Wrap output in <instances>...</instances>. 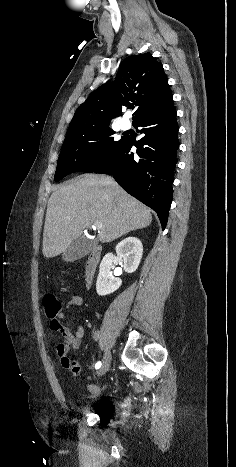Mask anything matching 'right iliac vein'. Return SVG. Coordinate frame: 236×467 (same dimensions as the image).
Returning <instances> with one entry per match:
<instances>
[{
    "label": "right iliac vein",
    "instance_id": "1",
    "mask_svg": "<svg viewBox=\"0 0 236 467\" xmlns=\"http://www.w3.org/2000/svg\"><path fill=\"white\" fill-rule=\"evenodd\" d=\"M111 364V355L109 352L106 353L102 365L98 371V376L104 375L110 368Z\"/></svg>",
    "mask_w": 236,
    "mask_h": 467
}]
</instances>
